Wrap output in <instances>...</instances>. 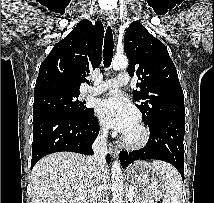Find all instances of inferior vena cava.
I'll list each match as a JSON object with an SVG mask.
<instances>
[{
    "label": "inferior vena cava",
    "instance_id": "inferior-vena-cava-1",
    "mask_svg": "<svg viewBox=\"0 0 214 203\" xmlns=\"http://www.w3.org/2000/svg\"><path fill=\"white\" fill-rule=\"evenodd\" d=\"M107 136L108 128H102L92 145L94 154L86 160L89 169L90 203H100L106 187Z\"/></svg>",
    "mask_w": 214,
    "mask_h": 203
}]
</instances>
